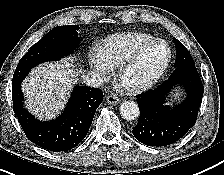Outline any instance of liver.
<instances>
[{"label": "liver", "instance_id": "liver-1", "mask_svg": "<svg viewBox=\"0 0 224 175\" xmlns=\"http://www.w3.org/2000/svg\"><path fill=\"white\" fill-rule=\"evenodd\" d=\"M71 65L73 60L66 59L62 63H45L32 70L22 83V91L26 97V108L40 120L54 119L64 108L72 83L82 72Z\"/></svg>", "mask_w": 224, "mask_h": 175}]
</instances>
